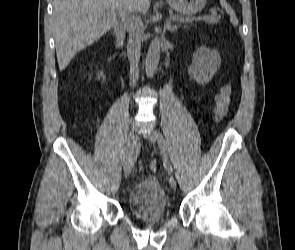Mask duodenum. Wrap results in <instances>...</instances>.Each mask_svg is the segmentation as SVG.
<instances>
[{"label": "duodenum", "instance_id": "duodenum-1", "mask_svg": "<svg viewBox=\"0 0 295 250\" xmlns=\"http://www.w3.org/2000/svg\"><path fill=\"white\" fill-rule=\"evenodd\" d=\"M127 30V23L118 22L114 26L115 45L118 49H122L125 44V34Z\"/></svg>", "mask_w": 295, "mask_h": 250}]
</instances>
